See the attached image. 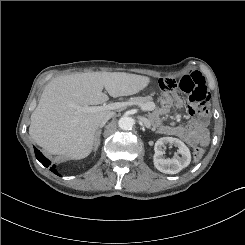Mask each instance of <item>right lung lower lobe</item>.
Segmentation results:
<instances>
[{
    "mask_svg": "<svg viewBox=\"0 0 245 245\" xmlns=\"http://www.w3.org/2000/svg\"><path fill=\"white\" fill-rule=\"evenodd\" d=\"M34 151H35V155H36V158L45 166V167H49L50 168V171H52L54 174L56 175H60L56 169V166L55 165H51V162L45 158L42 153L34 147Z\"/></svg>",
    "mask_w": 245,
    "mask_h": 245,
    "instance_id": "obj_1",
    "label": "right lung lower lobe"
}]
</instances>
